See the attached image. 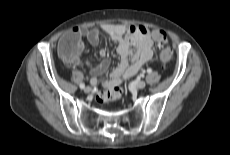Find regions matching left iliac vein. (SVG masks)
<instances>
[{"label":"left iliac vein","instance_id":"obj_1","mask_svg":"<svg viewBox=\"0 0 230 155\" xmlns=\"http://www.w3.org/2000/svg\"><path fill=\"white\" fill-rule=\"evenodd\" d=\"M132 86L136 89H143L146 86V83L142 80L134 81Z\"/></svg>","mask_w":230,"mask_h":155}]
</instances>
